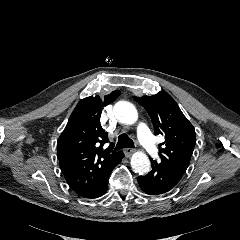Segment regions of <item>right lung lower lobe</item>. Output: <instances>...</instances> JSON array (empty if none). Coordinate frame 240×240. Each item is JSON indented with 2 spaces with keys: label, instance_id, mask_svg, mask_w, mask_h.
I'll return each instance as SVG.
<instances>
[{
  "label": "right lung lower lobe",
  "instance_id": "obj_1",
  "mask_svg": "<svg viewBox=\"0 0 240 240\" xmlns=\"http://www.w3.org/2000/svg\"><path fill=\"white\" fill-rule=\"evenodd\" d=\"M123 157H124V154L122 152V155L120 156L118 162L113 167L119 164ZM113 167L97 182V184L89 192L82 195V197L94 199L102 196L107 190L108 178Z\"/></svg>",
  "mask_w": 240,
  "mask_h": 240
}]
</instances>
